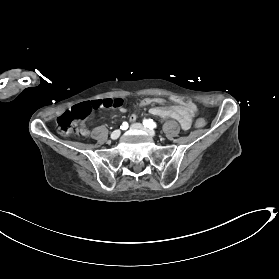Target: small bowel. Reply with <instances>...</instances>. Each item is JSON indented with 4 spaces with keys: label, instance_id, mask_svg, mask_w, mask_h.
<instances>
[{
    "label": "small bowel",
    "instance_id": "small-bowel-1",
    "mask_svg": "<svg viewBox=\"0 0 279 279\" xmlns=\"http://www.w3.org/2000/svg\"><path fill=\"white\" fill-rule=\"evenodd\" d=\"M172 101L175 102V105L165 107L162 106V104L164 103V100L162 98H145L140 102L139 106L144 107L154 105L150 108V113L152 115L162 118H173L179 122L183 130H188L192 124V114L181 104L177 97H173ZM119 111L124 113L126 112V109L124 107H119ZM136 119V112H133L130 115V121L135 122ZM79 134L82 136L88 135V130L84 122L81 124L79 128Z\"/></svg>",
    "mask_w": 279,
    "mask_h": 279
}]
</instances>
